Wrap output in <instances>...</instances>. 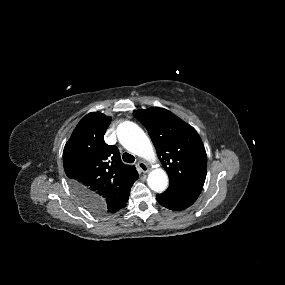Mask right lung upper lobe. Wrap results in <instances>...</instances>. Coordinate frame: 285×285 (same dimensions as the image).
Here are the masks:
<instances>
[{"label":"right lung upper lobe","mask_w":285,"mask_h":285,"mask_svg":"<svg viewBox=\"0 0 285 285\" xmlns=\"http://www.w3.org/2000/svg\"><path fill=\"white\" fill-rule=\"evenodd\" d=\"M111 118L99 112L84 116L63 151V165L70 185L83 205L115 213L125 202L138 179L133 166L124 165L116 146L103 136Z\"/></svg>","instance_id":"cb5924a9"}]
</instances>
